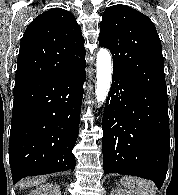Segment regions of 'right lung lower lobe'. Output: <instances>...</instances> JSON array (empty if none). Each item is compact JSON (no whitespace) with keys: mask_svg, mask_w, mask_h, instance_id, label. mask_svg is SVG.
<instances>
[{"mask_svg":"<svg viewBox=\"0 0 178 195\" xmlns=\"http://www.w3.org/2000/svg\"><path fill=\"white\" fill-rule=\"evenodd\" d=\"M86 64L72 73L15 84L9 139L13 183L73 170Z\"/></svg>","mask_w":178,"mask_h":195,"instance_id":"98d812e1","label":"right lung lower lobe"}]
</instances>
